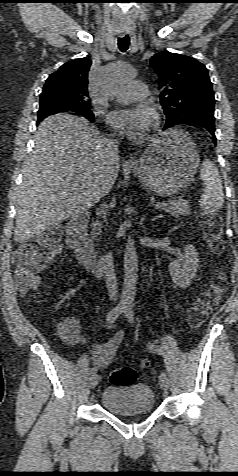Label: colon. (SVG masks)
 Here are the masks:
<instances>
[{
    "label": "colon",
    "mask_w": 238,
    "mask_h": 476,
    "mask_svg": "<svg viewBox=\"0 0 238 476\" xmlns=\"http://www.w3.org/2000/svg\"><path fill=\"white\" fill-rule=\"evenodd\" d=\"M201 227L210 248L214 253L222 250V221L213 214L201 217ZM60 234L58 227L50 229L33 243L21 245L13 254L16 287L20 294L25 295L40 283V271L55 257L60 250ZM225 291V278L219 273L213 284L195 301L188 312V321L193 327L203 324L211 310L219 303ZM146 366L147 364L144 363ZM137 372L132 367L114 369L109 380L115 385H129L136 381Z\"/></svg>",
    "instance_id": "colon-1"
}]
</instances>
